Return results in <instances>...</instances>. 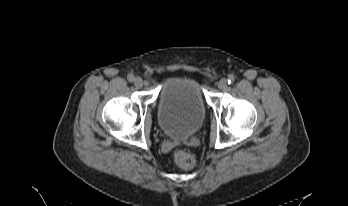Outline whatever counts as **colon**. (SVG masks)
<instances>
[{"instance_id": "colon-1", "label": "colon", "mask_w": 348, "mask_h": 206, "mask_svg": "<svg viewBox=\"0 0 348 206\" xmlns=\"http://www.w3.org/2000/svg\"><path fill=\"white\" fill-rule=\"evenodd\" d=\"M174 160L178 166L183 169H190L194 166L193 157L182 150H177L174 154Z\"/></svg>"}]
</instances>
